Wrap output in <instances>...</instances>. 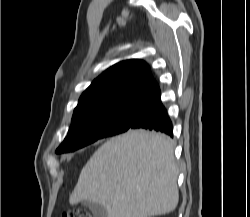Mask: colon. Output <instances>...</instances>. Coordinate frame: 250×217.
<instances>
[{
	"label": "colon",
	"mask_w": 250,
	"mask_h": 217,
	"mask_svg": "<svg viewBox=\"0 0 250 217\" xmlns=\"http://www.w3.org/2000/svg\"><path fill=\"white\" fill-rule=\"evenodd\" d=\"M62 217H92L91 214L80 208H72L62 214Z\"/></svg>",
	"instance_id": "obj_1"
}]
</instances>
